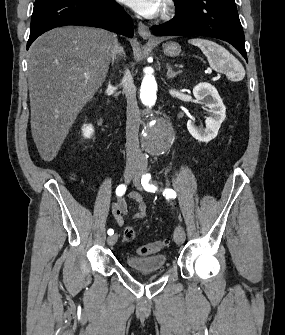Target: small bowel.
Returning <instances> with one entry per match:
<instances>
[{"label":"small bowel","instance_id":"small-bowel-1","mask_svg":"<svg viewBox=\"0 0 285 335\" xmlns=\"http://www.w3.org/2000/svg\"><path fill=\"white\" fill-rule=\"evenodd\" d=\"M129 198L131 204H128L124 198H118L111 204V212L114 221L119 226L123 224L125 218L128 216L130 205L135 207L133 218L142 220L147 216V205L143 201L141 195L138 192H131Z\"/></svg>","mask_w":285,"mask_h":335}]
</instances>
